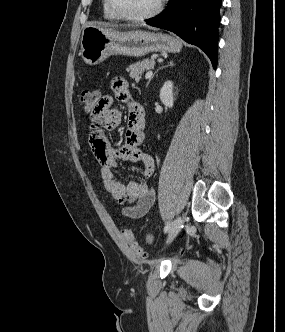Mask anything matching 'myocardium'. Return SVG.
<instances>
[{"label":"myocardium","instance_id":"1","mask_svg":"<svg viewBox=\"0 0 285 332\" xmlns=\"http://www.w3.org/2000/svg\"><path fill=\"white\" fill-rule=\"evenodd\" d=\"M165 0H158L156 7L149 13L140 16H128L119 11L114 0H108V5L113 14L121 20L129 22H142L156 17L163 9Z\"/></svg>","mask_w":285,"mask_h":332}]
</instances>
